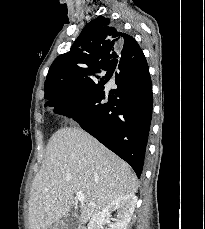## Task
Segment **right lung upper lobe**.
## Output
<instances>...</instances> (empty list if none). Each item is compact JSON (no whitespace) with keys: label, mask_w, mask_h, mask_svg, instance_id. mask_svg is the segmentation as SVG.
<instances>
[{"label":"right lung upper lobe","mask_w":205,"mask_h":229,"mask_svg":"<svg viewBox=\"0 0 205 229\" xmlns=\"http://www.w3.org/2000/svg\"><path fill=\"white\" fill-rule=\"evenodd\" d=\"M143 56L136 40L112 26L109 18L88 23L69 52L52 63L45 81V99L70 96L101 72L111 77L118 66L134 68ZM48 101V102H49Z\"/></svg>","instance_id":"1"}]
</instances>
